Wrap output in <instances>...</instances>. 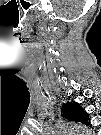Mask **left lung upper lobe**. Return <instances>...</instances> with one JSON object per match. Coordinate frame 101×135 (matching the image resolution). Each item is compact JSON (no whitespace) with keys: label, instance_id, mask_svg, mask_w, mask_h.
<instances>
[{"label":"left lung upper lobe","instance_id":"obj_1","mask_svg":"<svg viewBox=\"0 0 101 135\" xmlns=\"http://www.w3.org/2000/svg\"><path fill=\"white\" fill-rule=\"evenodd\" d=\"M65 117L70 121H79L84 124H88V115L82 111L78 104L67 103L63 108Z\"/></svg>","mask_w":101,"mask_h":135}]
</instances>
